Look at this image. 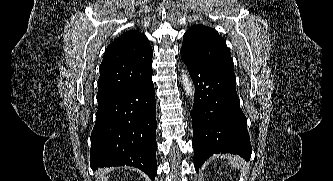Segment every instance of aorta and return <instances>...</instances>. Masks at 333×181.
<instances>
[{"instance_id": "obj_1", "label": "aorta", "mask_w": 333, "mask_h": 181, "mask_svg": "<svg viewBox=\"0 0 333 181\" xmlns=\"http://www.w3.org/2000/svg\"><path fill=\"white\" fill-rule=\"evenodd\" d=\"M182 84L186 92V95L192 99L194 96V86L188 73H186L185 71L182 72Z\"/></svg>"}]
</instances>
